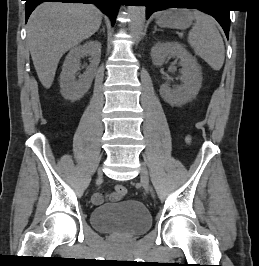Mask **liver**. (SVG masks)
Returning a JSON list of instances; mask_svg holds the SVG:
<instances>
[{"mask_svg": "<svg viewBox=\"0 0 259 266\" xmlns=\"http://www.w3.org/2000/svg\"><path fill=\"white\" fill-rule=\"evenodd\" d=\"M101 11L89 4L46 2L27 23V41L41 84L49 89L58 63L71 48L98 31Z\"/></svg>", "mask_w": 259, "mask_h": 266, "instance_id": "1", "label": "liver"}]
</instances>
